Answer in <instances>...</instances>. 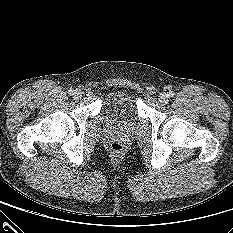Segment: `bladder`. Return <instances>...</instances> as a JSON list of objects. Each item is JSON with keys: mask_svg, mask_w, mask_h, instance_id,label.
<instances>
[{"mask_svg": "<svg viewBox=\"0 0 233 233\" xmlns=\"http://www.w3.org/2000/svg\"><path fill=\"white\" fill-rule=\"evenodd\" d=\"M138 95L127 88H113L102 99L101 111L107 121L123 122L137 117Z\"/></svg>", "mask_w": 233, "mask_h": 233, "instance_id": "obj_1", "label": "bladder"}]
</instances>
